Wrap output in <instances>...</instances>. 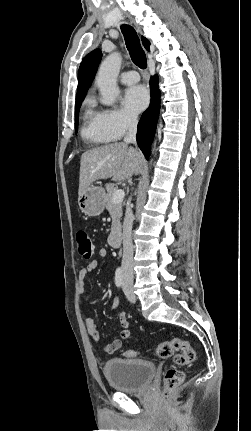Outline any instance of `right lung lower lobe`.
Instances as JSON below:
<instances>
[{
  "label": "right lung lower lobe",
  "mask_w": 251,
  "mask_h": 431,
  "mask_svg": "<svg viewBox=\"0 0 251 431\" xmlns=\"http://www.w3.org/2000/svg\"><path fill=\"white\" fill-rule=\"evenodd\" d=\"M150 84L151 104L142 114L137 127V143L147 158L150 155V145L155 135L160 110V91L158 87V77L156 75L151 78Z\"/></svg>",
  "instance_id": "obj_1"
}]
</instances>
